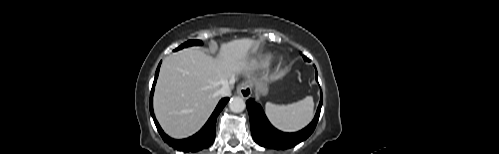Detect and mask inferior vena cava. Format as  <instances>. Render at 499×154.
Instances as JSON below:
<instances>
[{"label":"inferior vena cava","instance_id":"obj_1","mask_svg":"<svg viewBox=\"0 0 499 154\" xmlns=\"http://www.w3.org/2000/svg\"><path fill=\"white\" fill-rule=\"evenodd\" d=\"M217 94L221 97H229L231 96V89L229 84L223 85L217 92Z\"/></svg>","mask_w":499,"mask_h":154}]
</instances>
